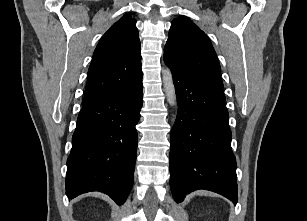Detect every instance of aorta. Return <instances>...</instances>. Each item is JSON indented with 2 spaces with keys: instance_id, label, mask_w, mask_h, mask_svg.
Segmentation results:
<instances>
[{
  "instance_id": "1",
  "label": "aorta",
  "mask_w": 307,
  "mask_h": 221,
  "mask_svg": "<svg viewBox=\"0 0 307 221\" xmlns=\"http://www.w3.org/2000/svg\"><path fill=\"white\" fill-rule=\"evenodd\" d=\"M162 78H163V87L166 94L167 102L171 106H175L176 105L175 87L173 84L171 71L168 68L162 71Z\"/></svg>"
}]
</instances>
